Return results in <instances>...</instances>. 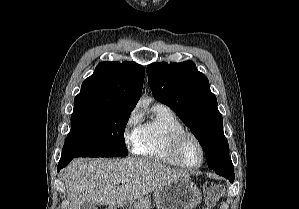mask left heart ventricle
Here are the masks:
<instances>
[{
	"label": "left heart ventricle",
	"instance_id": "left-heart-ventricle-1",
	"mask_svg": "<svg viewBox=\"0 0 299 209\" xmlns=\"http://www.w3.org/2000/svg\"><path fill=\"white\" fill-rule=\"evenodd\" d=\"M201 149L192 138H186L181 147V160L188 166H197L201 161Z\"/></svg>",
	"mask_w": 299,
	"mask_h": 209
}]
</instances>
